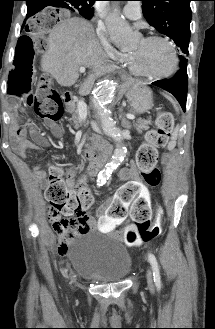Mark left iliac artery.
I'll list each match as a JSON object with an SVG mask.
<instances>
[{
  "label": "left iliac artery",
  "mask_w": 215,
  "mask_h": 329,
  "mask_svg": "<svg viewBox=\"0 0 215 329\" xmlns=\"http://www.w3.org/2000/svg\"><path fill=\"white\" fill-rule=\"evenodd\" d=\"M149 261L153 269V276H154V282L157 287V289L161 288V276H160V271H159V266L157 259L154 254L150 253L149 254Z\"/></svg>",
  "instance_id": "left-iliac-artery-1"
}]
</instances>
